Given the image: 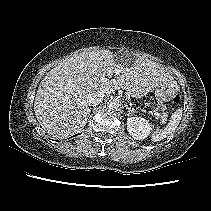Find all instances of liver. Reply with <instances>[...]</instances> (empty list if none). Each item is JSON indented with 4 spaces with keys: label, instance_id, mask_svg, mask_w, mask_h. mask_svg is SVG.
<instances>
[{
    "label": "liver",
    "instance_id": "1",
    "mask_svg": "<svg viewBox=\"0 0 211 211\" xmlns=\"http://www.w3.org/2000/svg\"><path fill=\"white\" fill-rule=\"evenodd\" d=\"M113 74L116 79L102 80ZM172 80L160 64L142 57L133 58L131 66H124L109 50L84 52L67 58L47 73L38 87L34 112L49 135L63 138L86 125L91 112L89 96L110 95L118 89L129 93L137 88H145L148 93Z\"/></svg>",
    "mask_w": 211,
    "mask_h": 211
}]
</instances>
